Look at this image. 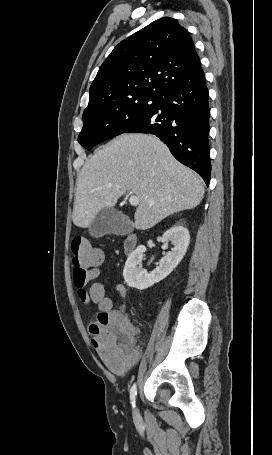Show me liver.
Wrapping results in <instances>:
<instances>
[{"instance_id":"obj_1","label":"liver","mask_w":272,"mask_h":455,"mask_svg":"<svg viewBox=\"0 0 272 455\" xmlns=\"http://www.w3.org/2000/svg\"><path fill=\"white\" fill-rule=\"evenodd\" d=\"M139 200L135 228H152L167 216L195 208L205 190L201 179L179 163L157 137L122 134L98 149L76 181L73 223L90 226L126 192Z\"/></svg>"}]
</instances>
